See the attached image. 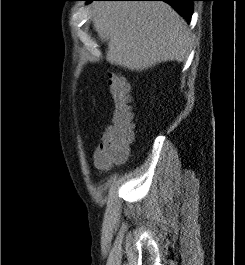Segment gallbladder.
I'll return each mask as SVG.
<instances>
[{"label": "gallbladder", "instance_id": "obj_1", "mask_svg": "<svg viewBox=\"0 0 245 265\" xmlns=\"http://www.w3.org/2000/svg\"><path fill=\"white\" fill-rule=\"evenodd\" d=\"M98 34H99V37H100V39H101L102 41H105V40H106V37H105L104 34H102V33H100V32H98Z\"/></svg>", "mask_w": 245, "mask_h": 265}]
</instances>
